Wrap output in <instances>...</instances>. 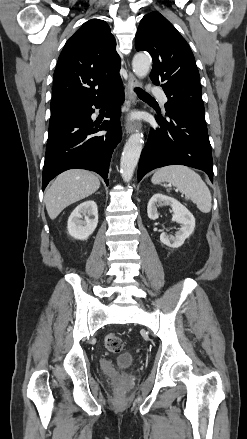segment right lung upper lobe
Returning <instances> with one entry per match:
<instances>
[{"instance_id":"right-lung-upper-lobe-1","label":"right lung upper lobe","mask_w":247,"mask_h":439,"mask_svg":"<svg viewBox=\"0 0 247 439\" xmlns=\"http://www.w3.org/2000/svg\"><path fill=\"white\" fill-rule=\"evenodd\" d=\"M120 57L108 24L84 23L66 42L54 72L51 113L104 97L121 83Z\"/></svg>"}]
</instances>
